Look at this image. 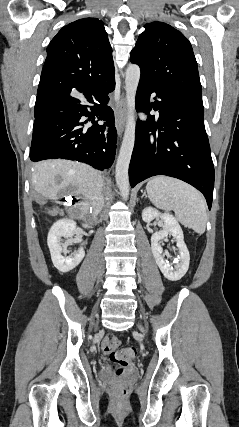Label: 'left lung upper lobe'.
Masks as SVG:
<instances>
[{
  "instance_id": "5c2ea615",
  "label": "left lung upper lobe",
  "mask_w": 239,
  "mask_h": 427,
  "mask_svg": "<svg viewBox=\"0 0 239 427\" xmlns=\"http://www.w3.org/2000/svg\"><path fill=\"white\" fill-rule=\"evenodd\" d=\"M145 28L130 57L140 66V79L202 103L197 62L188 39L163 22Z\"/></svg>"
}]
</instances>
